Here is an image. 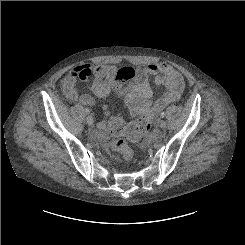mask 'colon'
Masks as SVG:
<instances>
[{
	"mask_svg": "<svg viewBox=\"0 0 245 245\" xmlns=\"http://www.w3.org/2000/svg\"><path fill=\"white\" fill-rule=\"evenodd\" d=\"M130 74L128 70L120 78ZM112 130L118 137L113 142V147L119 152L121 157L129 162L132 159L133 152L128 144L127 138L136 140L139 139L150 127L149 120L146 117H141L132 124L124 123L120 118L114 117L110 121Z\"/></svg>",
	"mask_w": 245,
	"mask_h": 245,
	"instance_id": "1",
	"label": "colon"
}]
</instances>
